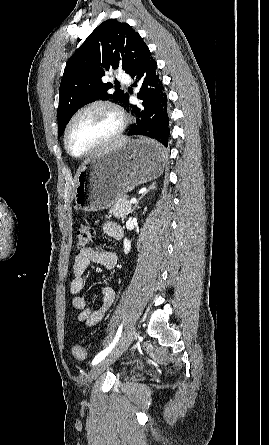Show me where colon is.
<instances>
[{
	"label": "colon",
	"instance_id": "obj_1",
	"mask_svg": "<svg viewBox=\"0 0 269 445\" xmlns=\"http://www.w3.org/2000/svg\"><path fill=\"white\" fill-rule=\"evenodd\" d=\"M94 236V229L89 225H81L76 232V244L79 249H85ZM72 354L78 360L86 358V350L80 345L72 347Z\"/></svg>",
	"mask_w": 269,
	"mask_h": 445
}]
</instances>
